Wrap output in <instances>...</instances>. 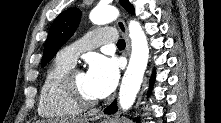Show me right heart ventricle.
Masks as SVG:
<instances>
[{
  "label": "right heart ventricle",
  "mask_w": 221,
  "mask_h": 123,
  "mask_svg": "<svg viewBox=\"0 0 221 123\" xmlns=\"http://www.w3.org/2000/svg\"><path fill=\"white\" fill-rule=\"evenodd\" d=\"M73 67L60 57L48 67L40 90L38 113L40 116L55 120H65L79 116L82 108L66 95L62 81L64 75Z\"/></svg>",
  "instance_id": "e07e8e85"
}]
</instances>
